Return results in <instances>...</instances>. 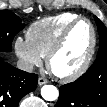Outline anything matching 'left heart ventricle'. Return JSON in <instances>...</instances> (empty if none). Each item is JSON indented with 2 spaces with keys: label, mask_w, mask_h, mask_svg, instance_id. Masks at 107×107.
Returning <instances> with one entry per match:
<instances>
[{
  "label": "left heart ventricle",
  "mask_w": 107,
  "mask_h": 107,
  "mask_svg": "<svg viewBox=\"0 0 107 107\" xmlns=\"http://www.w3.org/2000/svg\"><path fill=\"white\" fill-rule=\"evenodd\" d=\"M91 44V30L81 22L71 31L64 47L52 61L53 70L61 75L76 70L84 61Z\"/></svg>",
  "instance_id": "left-heart-ventricle-1"
}]
</instances>
